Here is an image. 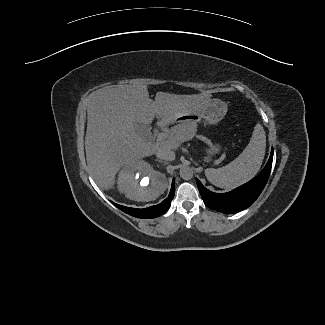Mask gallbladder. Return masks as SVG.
Here are the masks:
<instances>
[{
    "label": "gallbladder",
    "instance_id": "1",
    "mask_svg": "<svg viewBox=\"0 0 325 325\" xmlns=\"http://www.w3.org/2000/svg\"><path fill=\"white\" fill-rule=\"evenodd\" d=\"M136 132L143 138H148L151 134L150 127L141 123H135Z\"/></svg>",
    "mask_w": 325,
    "mask_h": 325
}]
</instances>
